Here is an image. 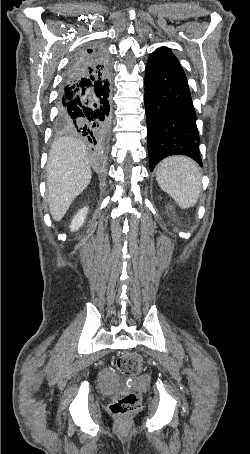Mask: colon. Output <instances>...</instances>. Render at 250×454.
Masks as SVG:
<instances>
[{
  "mask_svg": "<svg viewBox=\"0 0 250 454\" xmlns=\"http://www.w3.org/2000/svg\"><path fill=\"white\" fill-rule=\"evenodd\" d=\"M116 368L122 377H132L143 371L144 361L138 353L125 352L117 358ZM139 403L140 397L136 392L124 389L112 398L109 410L115 416H125L135 410Z\"/></svg>",
  "mask_w": 250,
  "mask_h": 454,
  "instance_id": "1",
  "label": "colon"
}]
</instances>
